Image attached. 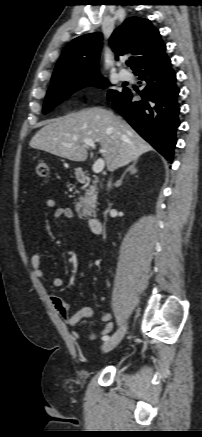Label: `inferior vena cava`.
<instances>
[{"instance_id": "602c4592", "label": "inferior vena cava", "mask_w": 202, "mask_h": 437, "mask_svg": "<svg viewBox=\"0 0 202 437\" xmlns=\"http://www.w3.org/2000/svg\"><path fill=\"white\" fill-rule=\"evenodd\" d=\"M108 187L110 188L111 187V182L109 181V183H108Z\"/></svg>"}]
</instances>
